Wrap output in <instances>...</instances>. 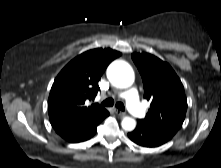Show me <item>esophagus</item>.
<instances>
[{
  "instance_id": "34e87169",
  "label": "esophagus",
  "mask_w": 221,
  "mask_h": 168,
  "mask_svg": "<svg viewBox=\"0 0 221 168\" xmlns=\"http://www.w3.org/2000/svg\"><path fill=\"white\" fill-rule=\"evenodd\" d=\"M115 113H116L117 115H119V116H122V117L126 115L125 112H123V111H121V110H119V109H115Z\"/></svg>"
}]
</instances>
